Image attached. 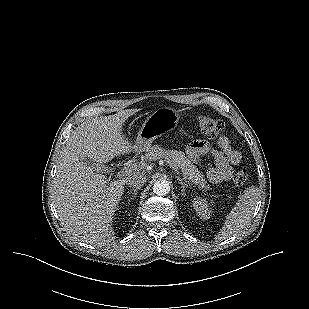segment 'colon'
I'll list each match as a JSON object with an SVG mask.
<instances>
[{
    "label": "colon",
    "instance_id": "5ec220e1",
    "mask_svg": "<svg viewBox=\"0 0 309 309\" xmlns=\"http://www.w3.org/2000/svg\"><path fill=\"white\" fill-rule=\"evenodd\" d=\"M197 123L202 132L211 138H220L224 132V124L222 121L199 115L197 117ZM247 180L248 172L246 169H241L235 174L234 182L236 185H244Z\"/></svg>",
    "mask_w": 309,
    "mask_h": 309
}]
</instances>
